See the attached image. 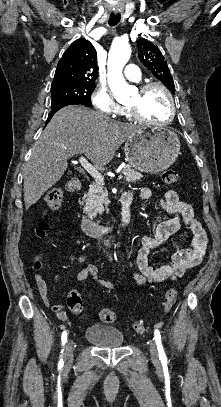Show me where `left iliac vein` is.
Returning <instances> with one entry per match:
<instances>
[{
  "mask_svg": "<svg viewBox=\"0 0 221 407\" xmlns=\"http://www.w3.org/2000/svg\"><path fill=\"white\" fill-rule=\"evenodd\" d=\"M149 351H150V354H151L152 359H153L154 361H158V359H159V352H158L157 344H156V342H155L154 339H152V340L150 341Z\"/></svg>",
  "mask_w": 221,
  "mask_h": 407,
  "instance_id": "obj_1",
  "label": "left iliac vein"
}]
</instances>
